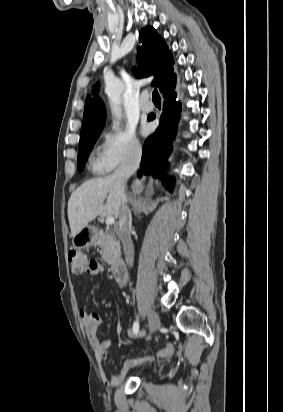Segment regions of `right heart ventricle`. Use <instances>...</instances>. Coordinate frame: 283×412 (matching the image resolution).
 Instances as JSON below:
<instances>
[{"instance_id": "right-heart-ventricle-1", "label": "right heart ventricle", "mask_w": 283, "mask_h": 412, "mask_svg": "<svg viewBox=\"0 0 283 412\" xmlns=\"http://www.w3.org/2000/svg\"><path fill=\"white\" fill-rule=\"evenodd\" d=\"M91 165L94 171H105L100 164L99 156L92 158Z\"/></svg>"}]
</instances>
